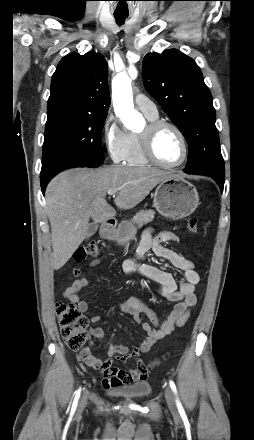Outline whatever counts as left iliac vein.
<instances>
[{
  "label": "left iliac vein",
  "mask_w": 254,
  "mask_h": 440,
  "mask_svg": "<svg viewBox=\"0 0 254 440\" xmlns=\"http://www.w3.org/2000/svg\"><path fill=\"white\" fill-rule=\"evenodd\" d=\"M165 397H166L167 405H168V408L170 409V411L173 414H177L178 410H177V406H176L175 397H174V394L170 388H166Z\"/></svg>",
  "instance_id": "1"
}]
</instances>
